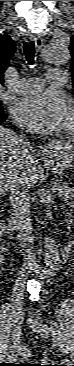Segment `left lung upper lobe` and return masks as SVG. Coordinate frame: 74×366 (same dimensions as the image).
<instances>
[{
    "label": "left lung upper lobe",
    "mask_w": 74,
    "mask_h": 366,
    "mask_svg": "<svg viewBox=\"0 0 74 366\" xmlns=\"http://www.w3.org/2000/svg\"><path fill=\"white\" fill-rule=\"evenodd\" d=\"M69 49L72 54L71 72H72V85L74 87V36L71 37V44Z\"/></svg>",
    "instance_id": "left-lung-upper-lobe-1"
}]
</instances>
